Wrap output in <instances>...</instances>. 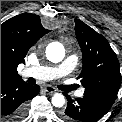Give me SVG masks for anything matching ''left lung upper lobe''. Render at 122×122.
<instances>
[{
	"label": "left lung upper lobe",
	"mask_w": 122,
	"mask_h": 122,
	"mask_svg": "<svg viewBox=\"0 0 122 122\" xmlns=\"http://www.w3.org/2000/svg\"><path fill=\"white\" fill-rule=\"evenodd\" d=\"M75 33L83 55L78 79L85 86L84 95L113 105L121 84L115 52L102 35L79 19H75Z\"/></svg>",
	"instance_id": "left-lung-upper-lobe-1"
}]
</instances>
